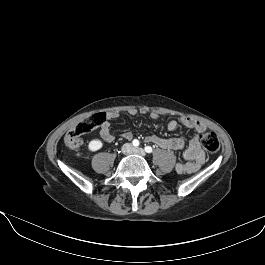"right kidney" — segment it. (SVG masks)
Returning a JSON list of instances; mask_svg holds the SVG:
<instances>
[{
	"label": "right kidney",
	"mask_w": 265,
	"mask_h": 265,
	"mask_svg": "<svg viewBox=\"0 0 265 265\" xmlns=\"http://www.w3.org/2000/svg\"><path fill=\"white\" fill-rule=\"evenodd\" d=\"M103 147L102 141L98 139L91 140L88 144V149L92 152L100 150Z\"/></svg>",
	"instance_id": "ca27d5eb"
}]
</instances>
